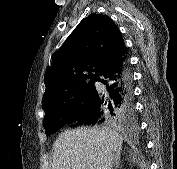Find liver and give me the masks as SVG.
Listing matches in <instances>:
<instances>
[{
  "mask_svg": "<svg viewBox=\"0 0 177 169\" xmlns=\"http://www.w3.org/2000/svg\"><path fill=\"white\" fill-rule=\"evenodd\" d=\"M122 143L114 128L68 130L54 142L52 169H112Z\"/></svg>",
  "mask_w": 177,
  "mask_h": 169,
  "instance_id": "1",
  "label": "liver"
}]
</instances>
